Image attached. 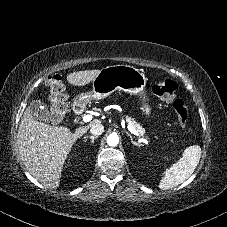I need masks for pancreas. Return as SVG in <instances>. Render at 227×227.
Wrapping results in <instances>:
<instances>
[{
	"mask_svg": "<svg viewBox=\"0 0 227 227\" xmlns=\"http://www.w3.org/2000/svg\"><path fill=\"white\" fill-rule=\"evenodd\" d=\"M128 125L139 131L142 135L145 134V129L137 123L134 119L132 118H127Z\"/></svg>",
	"mask_w": 227,
	"mask_h": 227,
	"instance_id": "cf45deb5",
	"label": "pancreas"
}]
</instances>
